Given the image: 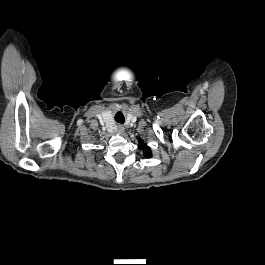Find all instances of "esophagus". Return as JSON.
<instances>
[{
	"label": "esophagus",
	"mask_w": 265,
	"mask_h": 265,
	"mask_svg": "<svg viewBox=\"0 0 265 265\" xmlns=\"http://www.w3.org/2000/svg\"><path fill=\"white\" fill-rule=\"evenodd\" d=\"M117 129H118L119 132H122L124 130V127L122 125H118Z\"/></svg>",
	"instance_id": "34e87169"
}]
</instances>
